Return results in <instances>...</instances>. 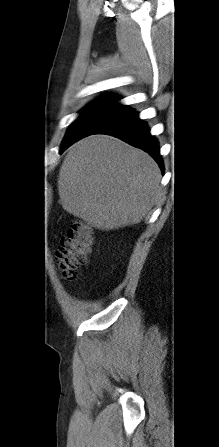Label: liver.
<instances>
[{
	"mask_svg": "<svg viewBox=\"0 0 219 447\" xmlns=\"http://www.w3.org/2000/svg\"><path fill=\"white\" fill-rule=\"evenodd\" d=\"M161 173L144 151L107 135L73 144L58 179L59 203L100 230L139 223L162 196Z\"/></svg>",
	"mask_w": 219,
	"mask_h": 447,
	"instance_id": "liver-1",
	"label": "liver"
}]
</instances>
